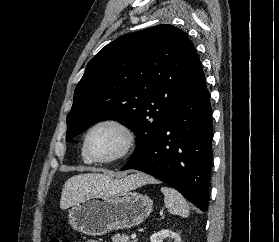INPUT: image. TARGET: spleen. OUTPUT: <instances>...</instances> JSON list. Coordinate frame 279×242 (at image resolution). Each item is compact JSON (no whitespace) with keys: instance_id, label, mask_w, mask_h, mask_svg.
I'll list each match as a JSON object with an SVG mask.
<instances>
[{"instance_id":"1","label":"spleen","mask_w":279,"mask_h":242,"mask_svg":"<svg viewBox=\"0 0 279 242\" xmlns=\"http://www.w3.org/2000/svg\"><path fill=\"white\" fill-rule=\"evenodd\" d=\"M164 194V203L168 211L172 214L187 217L189 215V206L185 198L175 189L170 187H161Z\"/></svg>"}]
</instances>
